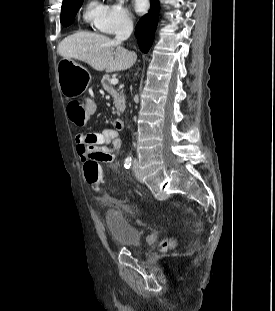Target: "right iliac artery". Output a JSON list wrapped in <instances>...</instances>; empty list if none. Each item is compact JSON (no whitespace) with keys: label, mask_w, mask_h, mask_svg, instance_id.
<instances>
[{"label":"right iliac artery","mask_w":275,"mask_h":311,"mask_svg":"<svg viewBox=\"0 0 275 311\" xmlns=\"http://www.w3.org/2000/svg\"><path fill=\"white\" fill-rule=\"evenodd\" d=\"M131 164H132V158L129 156V157L126 158L124 166H125L126 169H129Z\"/></svg>","instance_id":"1"}]
</instances>
